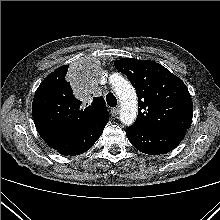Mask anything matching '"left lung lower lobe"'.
Returning a JSON list of instances; mask_svg holds the SVG:
<instances>
[{"label":"left lung lower lobe","mask_w":220,"mask_h":220,"mask_svg":"<svg viewBox=\"0 0 220 220\" xmlns=\"http://www.w3.org/2000/svg\"><path fill=\"white\" fill-rule=\"evenodd\" d=\"M126 135L132 145L145 154H165L176 148L186 135V130L150 129L132 125L126 129Z\"/></svg>","instance_id":"1"}]
</instances>
